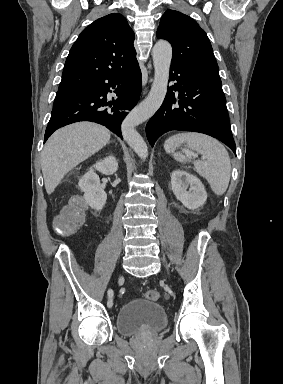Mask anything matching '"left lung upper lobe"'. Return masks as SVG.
Listing matches in <instances>:
<instances>
[{
  "mask_svg": "<svg viewBox=\"0 0 283 384\" xmlns=\"http://www.w3.org/2000/svg\"><path fill=\"white\" fill-rule=\"evenodd\" d=\"M157 38L172 44V65L220 78L209 38L191 17L167 10L161 18Z\"/></svg>",
  "mask_w": 283,
  "mask_h": 384,
  "instance_id": "obj_1",
  "label": "left lung upper lobe"
}]
</instances>
